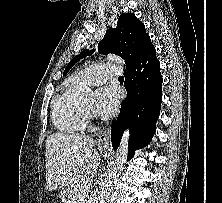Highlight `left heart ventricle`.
I'll list each match as a JSON object with an SVG mask.
<instances>
[{
  "mask_svg": "<svg viewBox=\"0 0 222 203\" xmlns=\"http://www.w3.org/2000/svg\"><path fill=\"white\" fill-rule=\"evenodd\" d=\"M85 103L90 107L92 108L93 106V103H94V99L91 97V98H88L86 99Z\"/></svg>",
  "mask_w": 222,
  "mask_h": 203,
  "instance_id": "b2bd125f",
  "label": "left heart ventricle"
}]
</instances>
